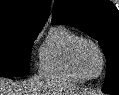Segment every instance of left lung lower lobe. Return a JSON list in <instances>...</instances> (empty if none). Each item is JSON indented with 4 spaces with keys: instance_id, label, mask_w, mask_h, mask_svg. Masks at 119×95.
Instances as JSON below:
<instances>
[{
    "instance_id": "obj_1",
    "label": "left lung lower lobe",
    "mask_w": 119,
    "mask_h": 95,
    "mask_svg": "<svg viewBox=\"0 0 119 95\" xmlns=\"http://www.w3.org/2000/svg\"><path fill=\"white\" fill-rule=\"evenodd\" d=\"M104 93L112 94V95H119V92H111V91H103Z\"/></svg>"
}]
</instances>
